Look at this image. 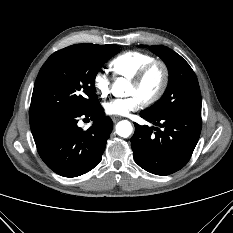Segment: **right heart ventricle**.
Instances as JSON below:
<instances>
[{
  "label": "right heart ventricle",
  "mask_w": 233,
  "mask_h": 233,
  "mask_svg": "<svg viewBox=\"0 0 233 233\" xmlns=\"http://www.w3.org/2000/svg\"><path fill=\"white\" fill-rule=\"evenodd\" d=\"M155 58L141 51H127L119 54L110 62V70L115 76L131 79L137 71Z\"/></svg>",
  "instance_id": "e07e8e85"
}]
</instances>
